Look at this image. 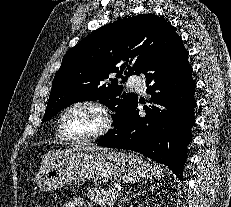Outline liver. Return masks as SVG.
<instances>
[{
  "label": "liver",
  "instance_id": "6515ba94",
  "mask_svg": "<svg viewBox=\"0 0 231 207\" xmlns=\"http://www.w3.org/2000/svg\"><path fill=\"white\" fill-rule=\"evenodd\" d=\"M76 150H80V151H101V150H107L105 148L102 147H97V146H84L82 148H78V149H68V150H64V151H52L49 152L48 154H46L43 157L42 163L43 165H48L50 162L54 161L55 158L61 156L64 153H68L71 151H76Z\"/></svg>",
  "mask_w": 231,
  "mask_h": 207
}]
</instances>
